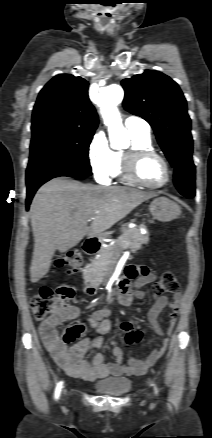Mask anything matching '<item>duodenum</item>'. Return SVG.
<instances>
[{
	"label": "duodenum",
	"instance_id": "410a0bca",
	"mask_svg": "<svg viewBox=\"0 0 212 438\" xmlns=\"http://www.w3.org/2000/svg\"><path fill=\"white\" fill-rule=\"evenodd\" d=\"M100 245L99 238H89L83 242L82 248L86 254L94 255L98 252ZM86 288L89 292H94L96 290V286L92 283H86Z\"/></svg>",
	"mask_w": 212,
	"mask_h": 438
}]
</instances>
